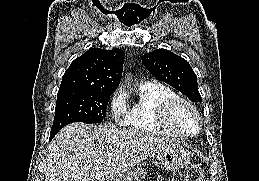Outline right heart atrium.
<instances>
[{
	"label": "right heart atrium",
	"mask_w": 259,
	"mask_h": 181,
	"mask_svg": "<svg viewBox=\"0 0 259 181\" xmlns=\"http://www.w3.org/2000/svg\"><path fill=\"white\" fill-rule=\"evenodd\" d=\"M109 112L115 124H125L126 98L122 91H117L112 95L109 101Z\"/></svg>",
	"instance_id": "d8ad5b80"
}]
</instances>
